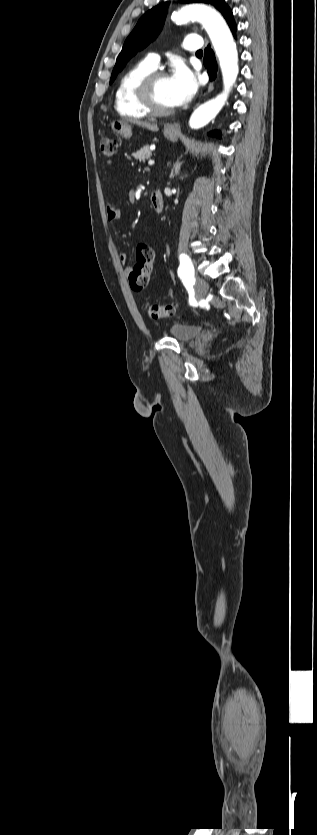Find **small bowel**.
Listing matches in <instances>:
<instances>
[{
	"label": "small bowel",
	"instance_id": "small-bowel-1",
	"mask_svg": "<svg viewBox=\"0 0 317 835\" xmlns=\"http://www.w3.org/2000/svg\"><path fill=\"white\" fill-rule=\"evenodd\" d=\"M107 219L109 222L115 223L120 220V211L114 205H109L106 211ZM155 257V250L153 245L149 241L141 242L137 247L136 253V260L143 259L152 262ZM120 262L125 264L128 260V256L126 253L119 254ZM131 271L132 269L129 268Z\"/></svg>",
	"mask_w": 317,
	"mask_h": 835
}]
</instances>
